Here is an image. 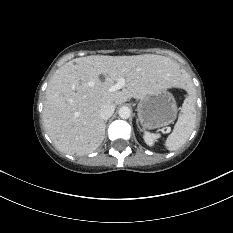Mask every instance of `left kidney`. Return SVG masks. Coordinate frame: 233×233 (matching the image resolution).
I'll list each match as a JSON object with an SVG mask.
<instances>
[{
  "instance_id": "left-kidney-1",
  "label": "left kidney",
  "mask_w": 233,
  "mask_h": 233,
  "mask_svg": "<svg viewBox=\"0 0 233 233\" xmlns=\"http://www.w3.org/2000/svg\"><path fill=\"white\" fill-rule=\"evenodd\" d=\"M143 138L147 145L153 146L154 142L157 140V138H159V135L145 132Z\"/></svg>"
}]
</instances>
